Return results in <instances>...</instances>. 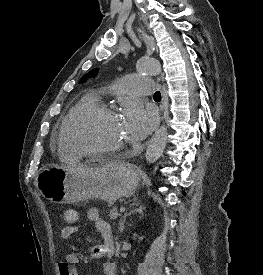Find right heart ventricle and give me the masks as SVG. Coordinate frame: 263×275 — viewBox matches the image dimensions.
Returning <instances> with one entry per match:
<instances>
[{"instance_id":"right-heart-ventricle-1","label":"right heart ventricle","mask_w":263,"mask_h":275,"mask_svg":"<svg viewBox=\"0 0 263 275\" xmlns=\"http://www.w3.org/2000/svg\"><path fill=\"white\" fill-rule=\"evenodd\" d=\"M98 103V96L94 93L86 94L81 98V100L69 111L65 117L62 128H61V140H60V153L64 157H69L71 159H77L80 155L67 140V135L69 130L77 118L83 111L96 105Z\"/></svg>"}]
</instances>
